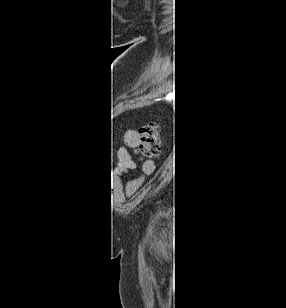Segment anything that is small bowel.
Segmentation results:
<instances>
[{"mask_svg": "<svg viewBox=\"0 0 286 308\" xmlns=\"http://www.w3.org/2000/svg\"><path fill=\"white\" fill-rule=\"evenodd\" d=\"M125 142L128 146H135L136 143H137V139H138V133L135 132L134 130H127L125 132ZM126 156H127V166L130 168V169H135L136 166H135V163L133 162V160L131 159V155L126 152ZM143 171L146 173V174H151L152 171H153V167H152V164L151 162L149 161H146L143 163Z\"/></svg>", "mask_w": 286, "mask_h": 308, "instance_id": "obj_1", "label": "small bowel"}]
</instances>
